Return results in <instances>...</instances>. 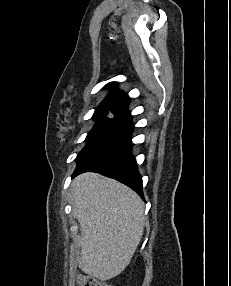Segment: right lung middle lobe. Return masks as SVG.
<instances>
[{
	"label": "right lung middle lobe",
	"instance_id": "dd1d6c3e",
	"mask_svg": "<svg viewBox=\"0 0 231 286\" xmlns=\"http://www.w3.org/2000/svg\"><path fill=\"white\" fill-rule=\"evenodd\" d=\"M93 118L96 120V124L88 133L86 138L87 144L78 155L76 161H79L122 125L131 121V115L128 113V110L116 106H99Z\"/></svg>",
	"mask_w": 231,
	"mask_h": 286
}]
</instances>
